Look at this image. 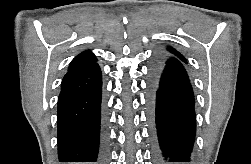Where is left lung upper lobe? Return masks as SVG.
I'll return each mask as SVG.
<instances>
[{"mask_svg":"<svg viewBox=\"0 0 251 164\" xmlns=\"http://www.w3.org/2000/svg\"><path fill=\"white\" fill-rule=\"evenodd\" d=\"M165 55L177 58V59L187 63V60L184 58V56L181 53H179L176 49H174L173 47H170V46L166 47V54Z\"/></svg>","mask_w":251,"mask_h":164,"instance_id":"left-lung-upper-lobe-1","label":"left lung upper lobe"}]
</instances>
